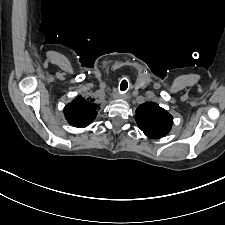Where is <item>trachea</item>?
Returning a JSON list of instances; mask_svg holds the SVG:
<instances>
[{
  "label": "trachea",
  "instance_id": "3493384b",
  "mask_svg": "<svg viewBox=\"0 0 225 225\" xmlns=\"http://www.w3.org/2000/svg\"><path fill=\"white\" fill-rule=\"evenodd\" d=\"M127 88H128V82L127 80L124 79L120 84V90L125 91Z\"/></svg>",
  "mask_w": 225,
  "mask_h": 225
}]
</instances>
